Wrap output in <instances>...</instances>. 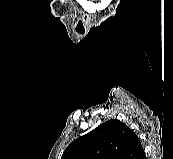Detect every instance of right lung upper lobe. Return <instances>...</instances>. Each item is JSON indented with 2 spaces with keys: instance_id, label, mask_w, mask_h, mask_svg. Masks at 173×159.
<instances>
[{
  "instance_id": "cb5924a9",
  "label": "right lung upper lobe",
  "mask_w": 173,
  "mask_h": 159,
  "mask_svg": "<svg viewBox=\"0 0 173 159\" xmlns=\"http://www.w3.org/2000/svg\"><path fill=\"white\" fill-rule=\"evenodd\" d=\"M144 155L134 131L113 119L70 143L61 159H142Z\"/></svg>"
}]
</instances>
